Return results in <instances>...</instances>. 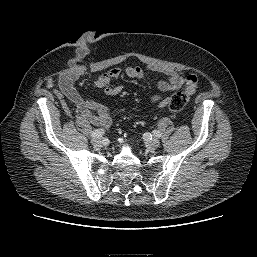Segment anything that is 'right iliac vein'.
Listing matches in <instances>:
<instances>
[{"instance_id":"obj_1","label":"right iliac vein","mask_w":257,"mask_h":257,"mask_svg":"<svg viewBox=\"0 0 257 257\" xmlns=\"http://www.w3.org/2000/svg\"><path fill=\"white\" fill-rule=\"evenodd\" d=\"M92 144L95 148H99V147L102 146L103 141L99 138H95V139L92 140Z\"/></svg>"}]
</instances>
